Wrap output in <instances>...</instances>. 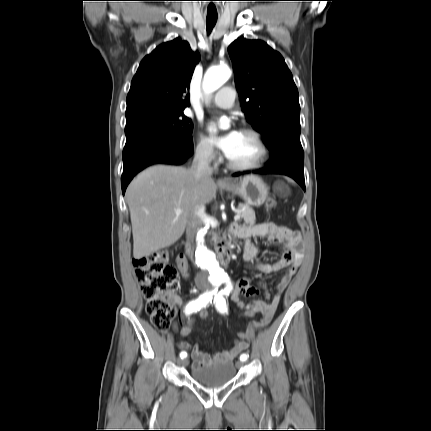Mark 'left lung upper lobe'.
<instances>
[{
  "label": "left lung upper lobe",
  "instance_id": "obj_1",
  "mask_svg": "<svg viewBox=\"0 0 431 431\" xmlns=\"http://www.w3.org/2000/svg\"><path fill=\"white\" fill-rule=\"evenodd\" d=\"M228 52L242 110L271 156L283 149L303 151L298 90L281 54L264 41L244 38Z\"/></svg>",
  "mask_w": 431,
  "mask_h": 431
}]
</instances>
